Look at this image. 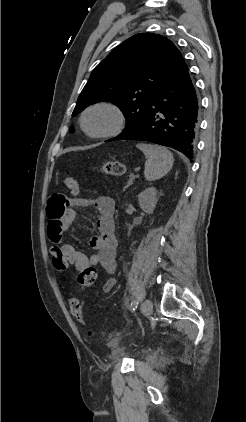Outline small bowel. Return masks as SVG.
Here are the masks:
<instances>
[{"instance_id": "obj_1", "label": "small bowel", "mask_w": 246, "mask_h": 422, "mask_svg": "<svg viewBox=\"0 0 246 422\" xmlns=\"http://www.w3.org/2000/svg\"><path fill=\"white\" fill-rule=\"evenodd\" d=\"M91 207L95 208L99 213L97 218L99 233L90 241L91 247L96 252L87 256L78 251L73 245L69 243L60 244V241L63 234L70 230L79 211ZM114 211V201L106 196L89 199L67 198L62 194H54L50 197L47 207L49 219L47 227L48 237L55 244L54 248H58L68 263L73 264L77 271L89 266L101 265L108 274L102 285L104 292H110L116 284L114 273L117 269V240L115 236Z\"/></svg>"}]
</instances>
